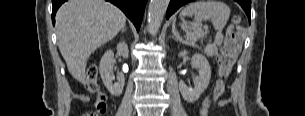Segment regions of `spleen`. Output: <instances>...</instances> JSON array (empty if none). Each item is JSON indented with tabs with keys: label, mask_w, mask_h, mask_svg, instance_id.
Wrapping results in <instances>:
<instances>
[{
	"label": "spleen",
	"mask_w": 305,
	"mask_h": 116,
	"mask_svg": "<svg viewBox=\"0 0 305 116\" xmlns=\"http://www.w3.org/2000/svg\"><path fill=\"white\" fill-rule=\"evenodd\" d=\"M184 16H194V21L183 43L194 45L198 39L207 34V30L202 29L200 22L211 21L213 27L221 32L229 19L230 9L227 5L219 1H196L182 9L180 17Z\"/></svg>",
	"instance_id": "1"
}]
</instances>
